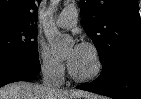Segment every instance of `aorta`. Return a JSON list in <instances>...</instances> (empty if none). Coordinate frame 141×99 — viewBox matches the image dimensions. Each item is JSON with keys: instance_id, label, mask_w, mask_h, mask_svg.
Wrapping results in <instances>:
<instances>
[{"instance_id": "762f6f07", "label": "aorta", "mask_w": 141, "mask_h": 99, "mask_svg": "<svg viewBox=\"0 0 141 99\" xmlns=\"http://www.w3.org/2000/svg\"><path fill=\"white\" fill-rule=\"evenodd\" d=\"M58 0H53L48 8V17L44 24V33L54 54H61L68 50L71 44V38L60 34L53 23V12Z\"/></svg>"}]
</instances>
